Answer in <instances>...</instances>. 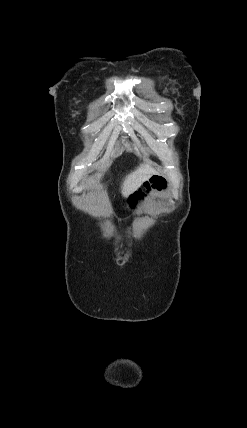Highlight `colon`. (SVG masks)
Instances as JSON below:
<instances>
[{"label": "colon", "mask_w": 247, "mask_h": 428, "mask_svg": "<svg viewBox=\"0 0 247 428\" xmlns=\"http://www.w3.org/2000/svg\"><path fill=\"white\" fill-rule=\"evenodd\" d=\"M164 184L165 183H164V180L162 178L152 177L148 182H146L144 184V188L146 190H151V189L160 190L164 187ZM142 194L143 193L141 191H139L133 196V199H125L124 202L121 199H117V200H115L114 205L117 208H121V207H123V205L125 208H128L126 210V215L128 217L138 216V215H140L141 212H140V210L135 209V207H136V200L135 199L139 198L140 202H146L148 199L146 195H142ZM122 225L125 226L126 224L123 223Z\"/></svg>", "instance_id": "obj_1"}]
</instances>
